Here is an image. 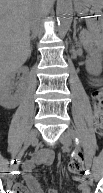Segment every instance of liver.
Masks as SVG:
<instances>
[{"label": "liver", "instance_id": "obj_1", "mask_svg": "<svg viewBox=\"0 0 103 193\" xmlns=\"http://www.w3.org/2000/svg\"><path fill=\"white\" fill-rule=\"evenodd\" d=\"M52 0H1L0 71L9 75L17 71L30 57V21L33 12L50 7Z\"/></svg>", "mask_w": 103, "mask_h": 193}]
</instances>
